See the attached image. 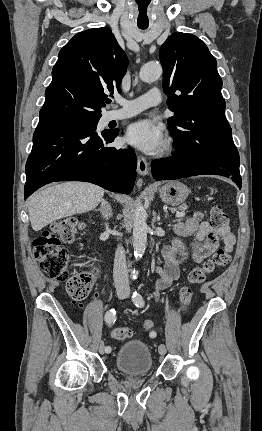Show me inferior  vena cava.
I'll use <instances>...</instances> for the list:
<instances>
[{"label":"inferior vena cava","mask_w":262,"mask_h":431,"mask_svg":"<svg viewBox=\"0 0 262 431\" xmlns=\"http://www.w3.org/2000/svg\"><path fill=\"white\" fill-rule=\"evenodd\" d=\"M113 278L115 287L118 290H124L129 292V280L128 271L126 265V256L124 248L119 246L115 253L114 268H113Z\"/></svg>","instance_id":"obj_1"}]
</instances>
